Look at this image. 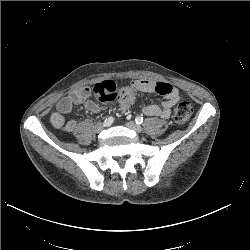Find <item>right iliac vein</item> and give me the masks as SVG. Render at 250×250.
<instances>
[{"instance_id":"obj_1","label":"right iliac vein","mask_w":250,"mask_h":250,"mask_svg":"<svg viewBox=\"0 0 250 250\" xmlns=\"http://www.w3.org/2000/svg\"><path fill=\"white\" fill-rule=\"evenodd\" d=\"M104 126H105L104 123H101V122L97 123V124L94 126L95 132H97V133L101 132V131L104 129Z\"/></svg>"}]
</instances>
